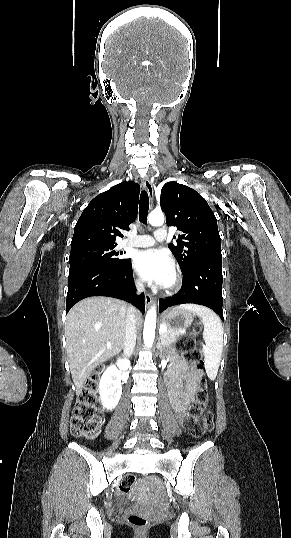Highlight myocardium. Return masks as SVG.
I'll use <instances>...</instances> for the list:
<instances>
[{
    "label": "myocardium",
    "instance_id": "f54148a6",
    "mask_svg": "<svg viewBox=\"0 0 291 538\" xmlns=\"http://www.w3.org/2000/svg\"><path fill=\"white\" fill-rule=\"evenodd\" d=\"M181 285L182 276L178 271L174 270L171 281L163 286V290L166 293H172L177 291L181 287Z\"/></svg>",
    "mask_w": 291,
    "mask_h": 538
}]
</instances>
